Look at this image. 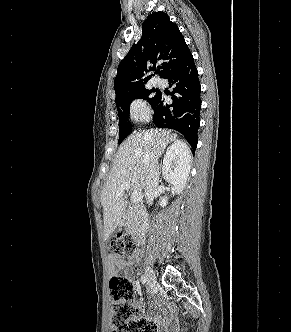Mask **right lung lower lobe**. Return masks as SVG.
Wrapping results in <instances>:
<instances>
[{"mask_svg":"<svg viewBox=\"0 0 291 332\" xmlns=\"http://www.w3.org/2000/svg\"><path fill=\"white\" fill-rule=\"evenodd\" d=\"M164 78L169 80L170 87L173 86L170 93L173 103L167 104L166 95L159 92L152 105L153 122L159 128L183 134L194 152L200 127L201 89L193 57L171 69Z\"/></svg>","mask_w":291,"mask_h":332,"instance_id":"1","label":"right lung lower lobe"}]
</instances>
